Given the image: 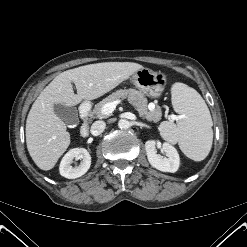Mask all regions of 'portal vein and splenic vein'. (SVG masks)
Wrapping results in <instances>:
<instances>
[{
	"instance_id": "18ae733b",
	"label": "portal vein and splenic vein",
	"mask_w": 247,
	"mask_h": 247,
	"mask_svg": "<svg viewBox=\"0 0 247 247\" xmlns=\"http://www.w3.org/2000/svg\"><path fill=\"white\" fill-rule=\"evenodd\" d=\"M120 103V100H115L113 102L107 103L102 107V114L109 115L111 114L115 109L116 106ZM170 118L172 120H179V117L175 115H170Z\"/></svg>"
}]
</instances>
